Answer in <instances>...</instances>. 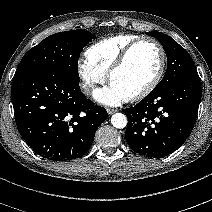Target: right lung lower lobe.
Masks as SVG:
<instances>
[{"label": "right lung lower lobe", "mask_w": 212, "mask_h": 212, "mask_svg": "<svg viewBox=\"0 0 212 212\" xmlns=\"http://www.w3.org/2000/svg\"><path fill=\"white\" fill-rule=\"evenodd\" d=\"M12 102L23 139L35 153L53 161L84 155L107 118L105 108L82 94L78 81L58 71L15 76Z\"/></svg>", "instance_id": "1"}]
</instances>
